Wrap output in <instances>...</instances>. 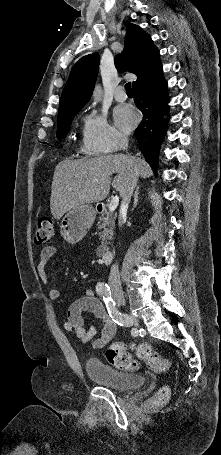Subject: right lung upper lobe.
Masks as SVG:
<instances>
[{"instance_id": "1", "label": "right lung upper lobe", "mask_w": 221, "mask_h": 455, "mask_svg": "<svg viewBox=\"0 0 221 455\" xmlns=\"http://www.w3.org/2000/svg\"><path fill=\"white\" fill-rule=\"evenodd\" d=\"M158 56L159 52L152 45L150 36L139 26L129 24L125 48L121 54L115 56L114 63L119 72L129 71L138 79ZM99 62V54L93 53L82 57L74 65L60 98L58 115L78 112L89 101L97 78Z\"/></svg>"}]
</instances>
